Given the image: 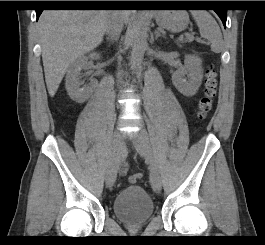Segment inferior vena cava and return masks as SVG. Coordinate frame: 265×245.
I'll return each instance as SVG.
<instances>
[{
    "label": "inferior vena cava",
    "mask_w": 265,
    "mask_h": 245,
    "mask_svg": "<svg viewBox=\"0 0 265 245\" xmlns=\"http://www.w3.org/2000/svg\"><path fill=\"white\" fill-rule=\"evenodd\" d=\"M123 20L119 17L118 14H115L112 18V20L109 22L108 28H107V34L111 38H114L117 40L119 37L122 29H123Z\"/></svg>",
    "instance_id": "inferior-vena-cava-1"
}]
</instances>
